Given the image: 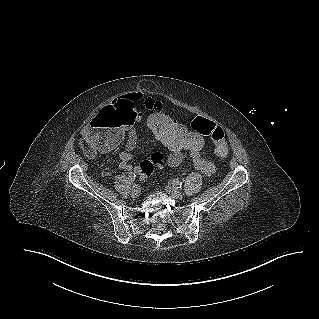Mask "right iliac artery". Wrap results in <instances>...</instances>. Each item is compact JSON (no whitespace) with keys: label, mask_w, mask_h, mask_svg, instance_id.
Instances as JSON below:
<instances>
[{"label":"right iliac artery","mask_w":319,"mask_h":319,"mask_svg":"<svg viewBox=\"0 0 319 319\" xmlns=\"http://www.w3.org/2000/svg\"><path fill=\"white\" fill-rule=\"evenodd\" d=\"M135 176H136L135 173L132 172L129 177L131 178V180H133Z\"/></svg>","instance_id":"right-iliac-artery-1"}]
</instances>
